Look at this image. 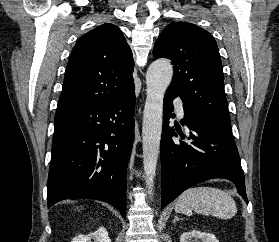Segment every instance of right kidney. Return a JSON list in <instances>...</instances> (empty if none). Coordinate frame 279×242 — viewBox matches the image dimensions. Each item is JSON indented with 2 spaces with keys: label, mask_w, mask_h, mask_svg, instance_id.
<instances>
[{
  "label": "right kidney",
  "mask_w": 279,
  "mask_h": 242,
  "mask_svg": "<svg viewBox=\"0 0 279 242\" xmlns=\"http://www.w3.org/2000/svg\"><path fill=\"white\" fill-rule=\"evenodd\" d=\"M111 242L108 232L104 227H100L97 231L88 235H78L71 242Z\"/></svg>",
  "instance_id": "ca27d5eb"
}]
</instances>
